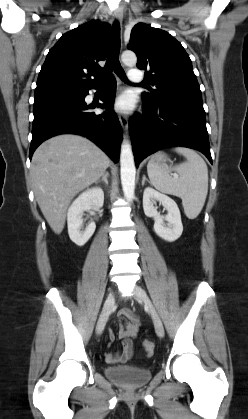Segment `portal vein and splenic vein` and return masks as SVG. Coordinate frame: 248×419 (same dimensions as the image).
<instances>
[{
  "label": "portal vein and splenic vein",
  "instance_id": "obj_1",
  "mask_svg": "<svg viewBox=\"0 0 248 419\" xmlns=\"http://www.w3.org/2000/svg\"><path fill=\"white\" fill-rule=\"evenodd\" d=\"M174 177H178V175L177 174H174Z\"/></svg>",
  "mask_w": 248,
  "mask_h": 419
}]
</instances>
